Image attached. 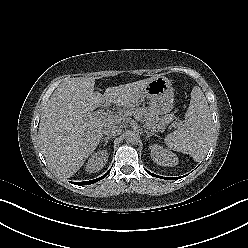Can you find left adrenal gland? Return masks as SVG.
Returning a JSON list of instances; mask_svg holds the SVG:
<instances>
[{
	"label": "left adrenal gland",
	"instance_id": "obj_1",
	"mask_svg": "<svg viewBox=\"0 0 248 248\" xmlns=\"http://www.w3.org/2000/svg\"><path fill=\"white\" fill-rule=\"evenodd\" d=\"M144 132L146 133V138L147 139H150V137L153 136V135L157 136L156 134H154L152 132H148L147 130H144Z\"/></svg>",
	"mask_w": 248,
	"mask_h": 248
}]
</instances>
